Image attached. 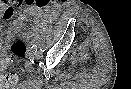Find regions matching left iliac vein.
<instances>
[{
  "mask_svg": "<svg viewBox=\"0 0 131 89\" xmlns=\"http://www.w3.org/2000/svg\"><path fill=\"white\" fill-rule=\"evenodd\" d=\"M42 54L41 51L37 52L36 56L39 57Z\"/></svg>",
  "mask_w": 131,
  "mask_h": 89,
  "instance_id": "left-iliac-vein-1",
  "label": "left iliac vein"
}]
</instances>
